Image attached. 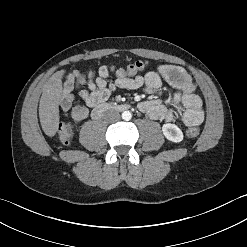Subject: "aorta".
<instances>
[{"instance_id":"762f6f07","label":"aorta","mask_w":247,"mask_h":247,"mask_svg":"<svg viewBox=\"0 0 247 247\" xmlns=\"http://www.w3.org/2000/svg\"><path fill=\"white\" fill-rule=\"evenodd\" d=\"M132 118V114L130 111H124L122 113V119L125 121H129Z\"/></svg>"}]
</instances>
